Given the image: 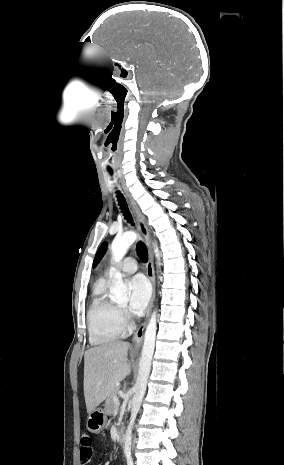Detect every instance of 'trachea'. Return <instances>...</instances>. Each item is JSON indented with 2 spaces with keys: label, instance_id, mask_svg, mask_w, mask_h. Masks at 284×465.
<instances>
[{
  "label": "trachea",
  "instance_id": "trachea-1",
  "mask_svg": "<svg viewBox=\"0 0 284 465\" xmlns=\"http://www.w3.org/2000/svg\"><path fill=\"white\" fill-rule=\"evenodd\" d=\"M108 173L110 175H113V171L112 170H108ZM117 201H118V204L120 206V209H121V213L123 214L125 220H127L128 223H131V225L134 226V222H133V219H132V216H131V213L129 211V208H128V205L126 203V200L125 198L123 197V195L117 191ZM136 251H137V255L138 257L140 258V260L142 262H147L148 260V251H147V247L145 246V244L143 242H138L137 243V246H136Z\"/></svg>",
  "mask_w": 284,
  "mask_h": 465
}]
</instances>
